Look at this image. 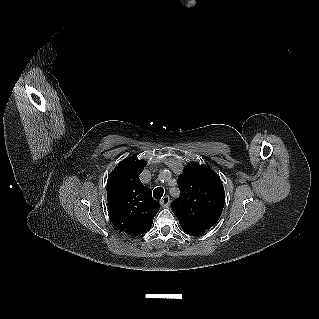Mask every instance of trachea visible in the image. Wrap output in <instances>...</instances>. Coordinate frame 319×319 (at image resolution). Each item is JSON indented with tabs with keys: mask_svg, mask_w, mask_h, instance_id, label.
I'll list each match as a JSON object with an SVG mask.
<instances>
[{
	"mask_svg": "<svg viewBox=\"0 0 319 319\" xmlns=\"http://www.w3.org/2000/svg\"><path fill=\"white\" fill-rule=\"evenodd\" d=\"M163 193H164V189L162 187H157L154 189L153 191V197L156 199V200H159L161 199V197L163 196Z\"/></svg>",
	"mask_w": 319,
	"mask_h": 319,
	"instance_id": "obj_1",
	"label": "trachea"
}]
</instances>
